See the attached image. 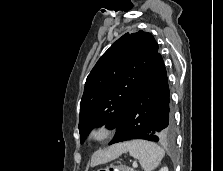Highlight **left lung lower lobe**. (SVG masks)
<instances>
[{
  "instance_id": "1",
  "label": "left lung lower lobe",
  "mask_w": 223,
  "mask_h": 171,
  "mask_svg": "<svg viewBox=\"0 0 223 171\" xmlns=\"http://www.w3.org/2000/svg\"><path fill=\"white\" fill-rule=\"evenodd\" d=\"M174 136L167 73L158 53L110 144L132 139L170 142Z\"/></svg>"
}]
</instances>
